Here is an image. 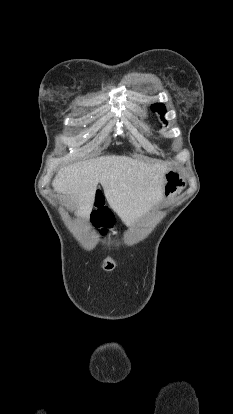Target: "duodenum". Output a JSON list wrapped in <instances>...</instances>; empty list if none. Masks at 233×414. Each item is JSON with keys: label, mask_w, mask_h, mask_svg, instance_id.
Here are the masks:
<instances>
[{"label": "duodenum", "mask_w": 233, "mask_h": 414, "mask_svg": "<svg viewBox=\"0 0 233 414\" xmlns=\"http://www.w3.org/2000/svg\"><path fill=\"white\" fill-rule=\"evenodd\" d=\"M96 194H103V189H96ZM96 206L100 212H107L109 210V205L104 201L102 196L97 198Z\"/></svg>", "instance_id": "410a0bca"}]
</instances>
